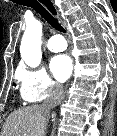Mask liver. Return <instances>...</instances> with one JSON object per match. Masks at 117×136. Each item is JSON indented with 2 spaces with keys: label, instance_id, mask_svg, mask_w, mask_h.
<instances>
[{
  "label": "liver",
  "instance_id": "obj_1",
  "mask_svg": "<svg viewBox=\"0 0 117 136\" xmlns=\"http://www.w3.org/2000/svg\"><path fill=\"white\" fill-rule=\"evenodd\" d=\"M49 113L40 105L12 112L3 126L2 136H44Z\"/></svg>",
  "mask_w": 117,
  "mask_h": 136
}]
</instances>
